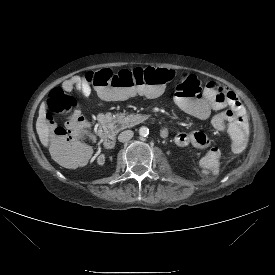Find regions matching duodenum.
Segmentation results:
<instances>
[{
	"label": "duodenum",
	"mask_w": 275,
	"mask_h": 275,
	"mask_svg": "<svg viewBox=\"0 0 275 275\" xmlns=\"http://www.w3.org/2000/svg\"><path fill=\"white\" fill-rule=\"evenodd\" d=\"M101 135L103 137L104 146L107 149H112L115 146V127L114 121L111 117L103 116L101 118ZM163 137L166 136V132L161 131Z\"/></svg>",
	"instance_id": "duodenum-1"
}]
</instances>
